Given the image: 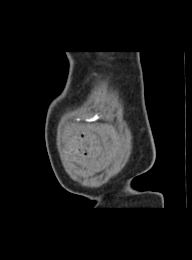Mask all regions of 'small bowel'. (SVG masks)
I'll use <instances>...</instances> for the list:
<instances>
[{"mask_svg": "<svg viewBox=\"0 0 192 260\" xmlns=\"http://www.w3.org/2000/svg\"><path fill=\"white\" fill-rule=\"evenodd\" d=\"M75 150L82 160H88L99 152V143L94 135L84 129H78L74 135Z\"/></svg>", "mask_w": 192, "mask_h": 260, "instance_id": "c3829d8e", "label": "small bowel"}]
</instances>
